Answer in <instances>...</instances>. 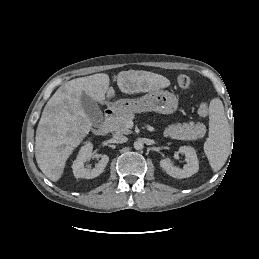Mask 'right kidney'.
<instances>
[{
	"mask_svg": "<svg viewBox=\"0 0 259 259\" xmlns=\"http://www.w3.org/2000/svg\"><path fill=\"white\" fill-rule=\"evenodd\" d=\"M93 145L87 142L83 147H81L76 160L73 162L72 169L73 174L76 178L92 179L99 176L107 166L109 162V157L107 155H96L92 153ZM93 157H100V161L95 165L93 169L86 168L84 163L89 161Z\"/></svg>",
	"mask_w": 259,
	"mask_h": 259,
	"instance_id": "obj_1",
	"label": "right kidney"
}]
</instances>
